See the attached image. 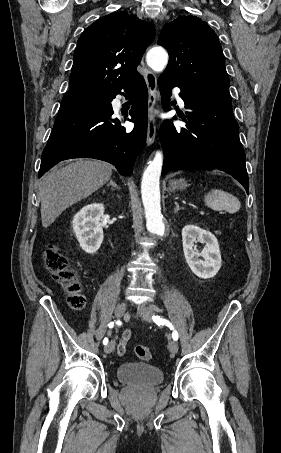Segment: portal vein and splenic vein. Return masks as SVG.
Masks as SVG:
<instances>
[{
  "mask_svg": "<svg viewBox=\"0 0 281 453\" xmlns=\"http://www.w3.org/2000/svg\"><path fill=\"white\" fill-rule=\"evenodd\" d=\"M195 211H199V208H195ZM200 212H201V213H200L201 215L204 214L202 210H201ZM217 212H218V213H221V215H224V212H222V210H218Z\"/></svg>",
  "mask_w": 281,
  "mask_h": 453,
  "instance_id": "portal-vein-and-splenic-vein-1",
  "label": "portal vein and splenic vein"
}]
</instances>
